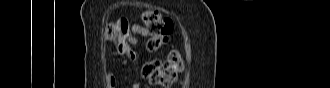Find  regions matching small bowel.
<instances>
[{"instance_id": "c3829d8e", "label": "small bowel", "mask_w": 330, "mask_h": 88, "mask_svg": "<svg viewBox=\"0 0 330 88\" xmlns=\"http://www.w3.org/2000/svg\"><path fill=\"white\" fill-rule=\"evenodd\" d=\"M130 29H131L132 34L128 38L125 51L124 52L119 51V52L125 59L135 62V61H137V53L131 48V46L136 45L138 43L139 36L145 37L148 34H147L146 30L144 29V27L139 24L130 25ZM107 82H108V85L110 88H117L116 77L113 73H109L107 75ZM130 87L138 88L139 85L137 83H133L130 85Z\"/></svg>"}]
</instances>
